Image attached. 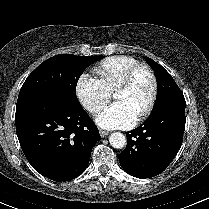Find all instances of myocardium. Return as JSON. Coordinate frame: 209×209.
Returning <instances> with one entry per match:
<instances>
[{
  "mask_svg": "<svg viewBox=\"0 0 209 209\" xmlns=\"http://www.w3.org/2000/svg\"><path fill=\"white\" fill-rule=\"evenodd\" d=\"M140 72L147 73L149 75V77L151 78L152 91H151V96L149 98V101H148L146 107L137 116L138 121L146 118L151 113V111L154 108V105L156 103L157 96H158V79H157L155 72L149 66H147L145 64H139V65L135 66L134 68H132L125 75V77L119 82V84L117 85V87L114 90V94H115L119 90H123V89L128 88L132 84V82L135 79V77L137 76V74Z\"/></svg>",
  "mask_w": 209,
  "mask_h": 209,
  "instance_id": "myocardium-1",
  "label": "myocardium"
}]
</instances>
